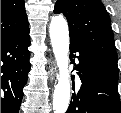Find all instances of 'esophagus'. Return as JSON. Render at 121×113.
Returning a JSON list of instances; mask_svg holds the SVG:
<instances>
[{
	"label": "esophagus",
	"mask_w": 121,
	"mask_h": 113,
	"mask_svg": "<svg viewBox=\"0 0 121 113\" xmlns=\"http://www.w3.org/2000/svg\"><path fill=\"white\" fill-rule=\"evenodd\" d=\"M55 74H56V65L55 63H53L49 69V77L51 81H53Z\"/></svg>",
	"instance_id": "esophagus-1"
}]
</instances>
